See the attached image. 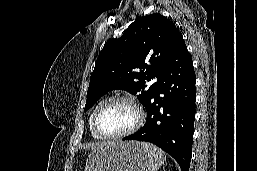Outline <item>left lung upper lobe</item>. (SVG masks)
Wrapping results in <instances>:
<instances>
[{
  "label": "left lung upper lobe",
  "instance_id": "5c2ea615",
  "mask_svg": "<svg viewBox=\"0 0 257 171\" xmlns=\"http://www.w3.org/2000/svg\"><path fill=\"white\" fill-rule=\"evenodd\" d=\"M184 46L178 28L163 15L138 18L120 38L107 41L100 52L90 77L85 111L114 89L138 94L146 107L157 82L148 87L145 80L159 78L169 57Z\"/></svg>",
  "mask_w": 257,
  "mask_h": 171
}]
</instances>
